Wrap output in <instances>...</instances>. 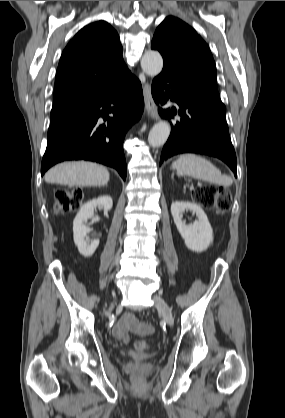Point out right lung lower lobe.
<instances>
[{"label": "right lung lower lobe", "instance_id": "obj_1", "mask_svg": "<svg viewBox=\"0 0 285 418\" xmlns=\"http://www.w3.org/2000/svg\"><path fill=\"white\" fill-rule=\"evenodd\" d=\"M144 109L140 81L133 75L119 87L51 121L41 175L66 160H89L115 168L123 180L127 169L123 141ZM109 113L113 117H109ZM102 117L107 125H99Z\"/></svg>", "mask_w": 285, "mask_h": 418}]
</instances>
